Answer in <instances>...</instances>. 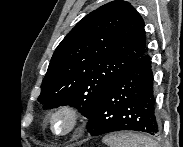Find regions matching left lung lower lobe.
I'll return each instance as SVG.
<instances>
[{
	"label": "left lung lower lobe",
	"mask_w": 183,
	"mask_h": 147,
	"mask_svg": "<svg viewBox=\"0 0 183 147\" xmlns=\"http://www.w3.org/2000/svg\"><path fill=\"white\" fill-rule=\"evenodd\" d=\"M150 63L143 54L106 89L87 123L92 136L120 130L159 134Z\"/></svg>",
	"instance_id": "1"
}]
</instances>
